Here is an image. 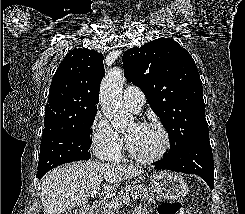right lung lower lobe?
Listing matches in <instances>:
<instances>
[{"instance_id": "98d812e1", "label": "right lung lower lobe", "mask_w": 245, "mask_h": 214, "mask_svg": "<svg viewBox=\"0 0 245 214\" xmlns=\"http://www.w3.org/2000/svg\"><path fill=\"white\" fill-rule=\"evenodd\" d=\"M42 176H43V174L37 175V178L40 179Z\"/></svg>"}]
</instances>
